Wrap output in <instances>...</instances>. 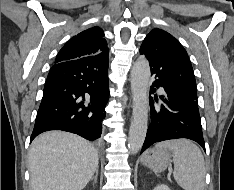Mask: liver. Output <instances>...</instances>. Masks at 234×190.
Returning <instances> with one entry per match:
<instances>
[{
  "mask_svg": "<svg viewBox=\"0 0 234 190\" xmlns=\"http://www.w3.org/2000/svg\"><path fill=\"white\" fill-rule=\"evenodd\" d=\"M98 152L78 135L49 131L29 151L32 190H82L98 169Z\"/></svg>",
  "mask_w": 234,
  "mask_h": 190,
  "instance_id": "6515ba94",
  "label": "liver"
}]
</instances>
